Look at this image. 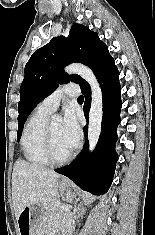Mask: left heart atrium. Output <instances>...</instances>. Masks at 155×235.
<instances>
[{
	"mask_svg": "<svg viewBox=\"0 0 155 235\" xmlns=\"http://www.w3.org/2000/svg\"><path fill=\"white\" fill-rule=\"evenodd\" d=\"M61 133L64 141L70 149H74L81 137V129L76 115L73 112H66L61 124Z\"/></svg>",
	"mask_w": 155,
	"mask_h": 235,
	"instance_id": "left-heart-atrium-1",
	"label": "left heart atrium"
}]
</instances>
